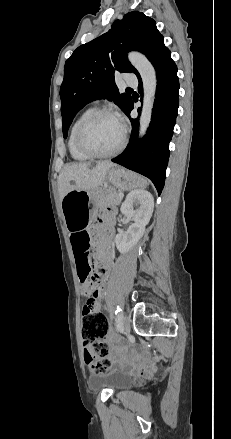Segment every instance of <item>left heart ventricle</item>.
Wrapping results in <instances>:
<instances>
[{"label":"left heart ventricle","mask_w":231,"mask_h":439,"mask_svg":"<svg viewBox=\"0 0 231 439\" xmlns=\"http://www.w3.org/2000/svg\"><path fill=\"white\" fill-rule=\"evenodd\" d=\"M122 134L123 127L117 119L103 116L87 128L84 140L92 150L107 153L119 145Z\"/></svg>","instance_id":"obj_1"}]
</instances>
